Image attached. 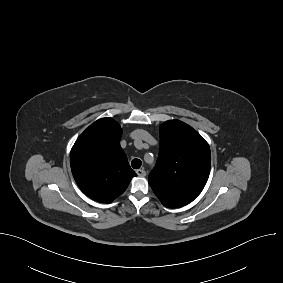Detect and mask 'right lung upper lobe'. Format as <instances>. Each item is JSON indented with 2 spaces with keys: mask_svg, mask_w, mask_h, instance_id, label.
<instances>
[{
  "mask_svg": "<svg viewBox=\"0 0 283 283\" xmlns=\"http://www.w3.org/2000/svg\"><path fill=\"white\" fill-rule=\"evenodd\" d=\"M122 129L111 118H101L76 140L70 153L73 177L91 199L111 203L128 187L136 173L120 146Z\"/></svg>",
  "mask_w": 283,
  "mask_h": 283,
  "instance_id": "1",
  "label": "right lung upper lobe"
}]
</instances>
